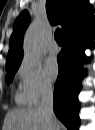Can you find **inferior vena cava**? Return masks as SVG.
<instances>
[{"label":"inferior vena cava","mask_w":95,"mask_h":130,"mask_svg":"<svg viewBox=\"0 0 95 130\" xmlns=\"http://www.w3.org/2000/svg\"><path fill=\"white\" fill-rule=\"evenodd\" d=\"M38 109L45 115L47 121L52 125L56 123V117L53 112V88L46 86L41 97V104ZM53 130V128H49ZM59 130V129H57Z\"/></svg>","instance_id":"602c4592"}]
</instances>
